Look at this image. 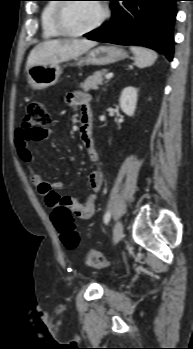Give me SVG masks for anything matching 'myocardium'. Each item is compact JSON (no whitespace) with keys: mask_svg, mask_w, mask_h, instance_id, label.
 <instances>
[{"mask_svg":"<svg viewBox=\"0 0 193 349\" xmlns=\"http://www.w3.org/2000/svg\"><path fill=\"white\" fill-rule=\"evenodd\" d=\"M61 1H64V2H59L55 6V9L53 12V17H52V22H53L54 28L62 36L75 38V37H81L83 35L89 34L93 31L97 30L99 27H101L109 17L108 6L105 3L100 2L98 4H100L102 12H101V15L98 18V20L93 25H91L90 27H88L86 29H83L80 31H71V30L67 29V27L65 26L64 21H63L64 10L70 4V2H69V0H61Z\"/></svg>","mask_w":193,"mask_h":349,"instance_id":"obj_1","label":"myocardium"}]
</instances>
